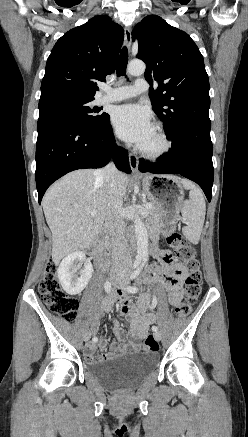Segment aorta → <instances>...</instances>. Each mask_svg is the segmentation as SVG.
<instances>
[{
    "mask_svg": "<svg viewBox=\"0 0 248 437\" xmlns=\"http://www.w3.org/2000/svg\"><path fill=\"white\" fill-rule=\"evenodd\" d=\"M145 63L140 60H133L128 64L127 71L130 75L139 76L145 72ZM134 230L137 241V259L148 258V233L142 218L136 214L134 219Z\"/></svg>",
    "mask_w": 248,
    "mask_h": 437,
    "instance_id": "762f6f07",
    "label": "aorta"
}]
</instances>
